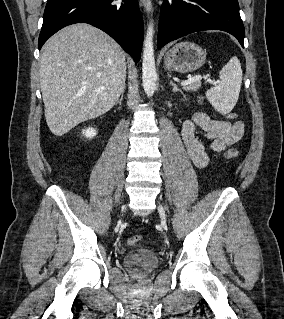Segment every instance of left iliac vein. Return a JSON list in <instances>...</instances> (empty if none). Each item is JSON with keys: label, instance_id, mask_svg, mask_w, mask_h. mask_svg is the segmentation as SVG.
<instances>
[{"label": "left iliac vein", "instance_id": "obj_1", "mask_svg": "<svg viewBox=\"0 0 284 319\" xmlns=\"http://www.w3.org/2000/svg\"><path fill=\"white\" fill-rule=\"evenodd\" d=\"M158 211L162 220V224H166V215H165V210L162 207V205H158Z\"/></svg>", "mask_w": 284, "mask_h": 319}]
</instances>
